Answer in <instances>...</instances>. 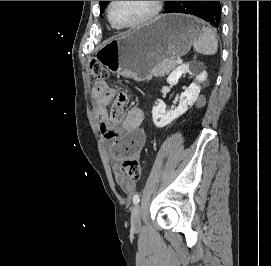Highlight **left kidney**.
I'll return each instance as SVG.
<instances>
[{
  "label": "left kidney",
  "instance_id": "5707ae66",
  "mask_svg": "<svg viewBox=\"0 0 271 266\" xmlns=\"http://www.w3.org/2000/svg\"><path fill=\"white\" fill-rule=\"evenodd\" d=\"M190 73L195 75L196 82L182 93L178 106L171 111L166 110V105L162 101H158L152 109V118L156 127L162 128L170 124L172 121L183 115L189 107L196 102L201 91L200 83L206 80L207 74L199 64H183L176 68L167 78L170 85H176L179 78L185 74Z\"/></svg>",
  "mask_w": 271,
  "mask_h": 266
}]
</instances>
